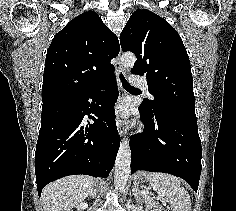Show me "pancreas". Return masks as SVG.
<instances>
[{
    "instance_id": "obj_1",
    "label": "pancreas",
    "mask_w": 236,
    "mask_h": 211,
    "mask_svg": "<svg viewBox=\"0 0 236 211\" xmlns=\"http://www.w3.org/2000/svg\"><path fill=\"white\" fill-rule=\"evenodd\" d=\"M142 198H143V200H145V203L147 206L155 207V202H153V200L149 196L143 195Z\"/></svg>"
}]
</instances>
